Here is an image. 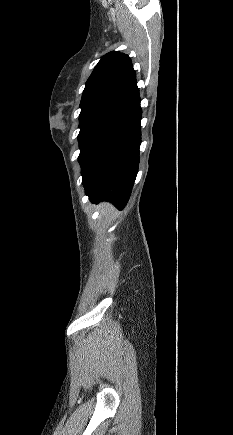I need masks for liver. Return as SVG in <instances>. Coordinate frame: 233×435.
<instances>
[{"label": "liver", "mask_w": 233, "mask_h": 435, "mask_svg": "<svg viewBox=\"0 0 233 435\" xmlns=\"http://www.w3.org/2000/svg\"><path fill=\"white\" fill-rule=\"evenodd\" d=\"M105 207L108 209H112V207L110 205L102 204V208L105 209Z\"/></svg>", "instance_id": "liver-1"}]
</instances>
